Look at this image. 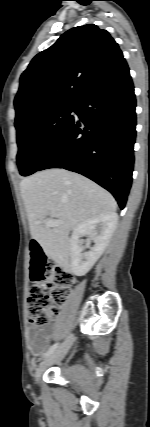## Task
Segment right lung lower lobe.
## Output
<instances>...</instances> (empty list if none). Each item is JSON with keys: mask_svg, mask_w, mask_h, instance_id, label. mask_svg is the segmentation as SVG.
Returning a JSON list of instances; mask_svg holds the SVG:
<instances>
[{"mask_svg": "<svg viewBox=\"0 0 150 427\" xmlns=\"http://www.w3.org/2000/svg\"><path fill=\"white\" fill-rule=\"evenodd\" d=\"M136 100L129 68L91 91L36 171L64 168L110 191L121 209L132 184Z\"/></svg>", "mask_w": 150, "mask_h": 427, "instance_id": "98d812e1", "label": "right lung lower lobe"}]
</instances>
